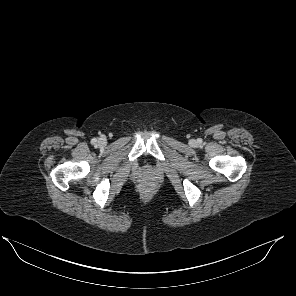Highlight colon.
<instances>
[{
  "mask_svg": "<svg viewBox=\"0 0 296 296\" xmlns=\"http://www.w3.org/2000/svg\"><path fill=\"white\" fill-rule=\"evenodd\" d=\"M154 190V185L152 183H143L141 185V191L144 193V194H149L151 193L152 191Z\"/></svg>",
  "mask_w": 296,
  "mask_h": 296,
  "instance_id": "obj_1",
  "label": "colon"
}]
</instances>
